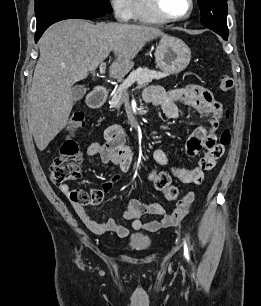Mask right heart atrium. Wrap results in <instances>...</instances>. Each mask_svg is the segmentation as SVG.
<instances>
[{
  "label": "right heart atrium",
  "instance_id": "obj_1",
  "mask_svg": "<svg viewBox=\"0 0 261 306\" xmlns=\"http://www.w3.org/2000/svg\"><path fill=\"white\" fill-rule=\"evenodd\" d=\"M133 0H109L114 17L120 22H126L132 18Z\"/></svg>",
  "mask_w": 261,
  "mask_h": 306
}]
</instances>
